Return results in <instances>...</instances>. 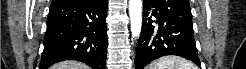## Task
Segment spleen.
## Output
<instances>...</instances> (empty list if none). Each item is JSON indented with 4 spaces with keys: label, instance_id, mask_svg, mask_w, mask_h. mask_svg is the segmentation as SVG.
<instances>
[{
    "label": "spleen",
    "instance_id": "obj_1",
    "mask_svg": "<svg viewBox=\"0 0 246 69\" xmlns=\"http://www.w3.org/2000/svg\"><path fill=\"white\" fill-rule=\"evenodd\" d=\"M150 69H197L196 66L181 57L166 56L150 65Z\"/></svg>",
    "mask_w": 246,
    "mask_h": 69
}]
</instances>
